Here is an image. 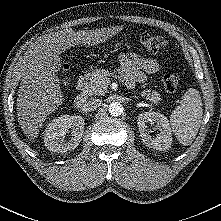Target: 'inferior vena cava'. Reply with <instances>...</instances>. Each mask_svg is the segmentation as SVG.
I'll list each match as a JSON object with an SVG mask.
<instances>
[{"label": "inferior vena cava", "instance_id": "inferior-vena-cava-1", "mask_svg": "<svg viewBox=\"0 0 221 221\" xmlns=\"http://www.w3.org/2000/svg\"><path fill=\"white\" fill-rule=\"evenodd\" d=\"M100 104H101L100 99L91 98L89 101H86L82 105V111H84V112L94 111Z\"/></svg>", "mask_w": 221, "mask_h": 221}]
</instances>
